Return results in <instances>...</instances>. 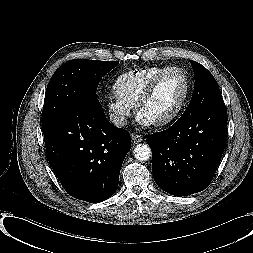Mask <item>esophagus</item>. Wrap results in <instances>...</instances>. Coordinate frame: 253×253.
Returning a JSON list of instances; mask_svg holds the SVG:
<instances>
[{
	"label": "esophagus",
	"instance_id": "34e87169",
	"mask_svg": "<svg viewBox=\"0 0 253 253\" xmlns=\"http://www.w3.org/2000/svg\"><path fill=\"white\" fill-rule=\"evenodd\" d=\"M131 141L133 144H137L141 141H143V137L141 135H138L136 133L131 134Z\"/></svg>",
	"mask_w": 253,
	"mask_h": 253
}]
</instances>
